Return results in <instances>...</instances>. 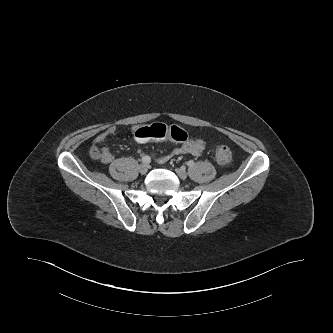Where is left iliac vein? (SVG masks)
Wrapping results in <instances>:
<instances>
[{"mask_svg":"<svg viewBox=\"0 0 333 333\" xmlns=\"http://www.w3.org/2000/svg\"><path fill=\"white\" fill-rule=\"evenodd\" d=\"M178 177L182 180H185L188 176L187 172L184 169H176Z\"/></svg>","mask_w":333,"mask_h":333,"instance_id":"4c4485c4","label":"left iliac vein"}]
</instances>
